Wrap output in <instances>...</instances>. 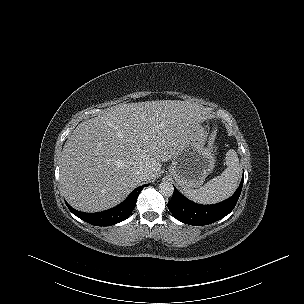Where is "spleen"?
<instances>
[{"label": "spleen", "instance_id": "obj_1", "mask_svg": "<svg viewBox=\"0 0 304 304\" xmlns=\"http://www.w3.org/2000/svg\"><path fill=\"white\" fill-rule=\"evenodd\" d=\"M227 168L199 189H184L185 195L200 204H214L230 197L238 186L241 166L235 150L226 153Z\"/></svg>", "mask_w": 304, "mask_h": 304}]
</instances>
